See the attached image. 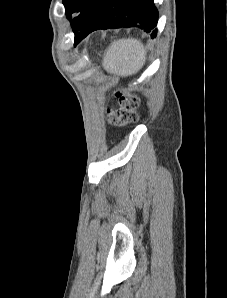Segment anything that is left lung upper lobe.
<instances>
[{"label":"left lung upper lobe","mask_w":227,"mask_h":298,"mask_svg":"<svg viewBox=\"0 0 227 298\" xmlns=\"http://www.w3.org/2000/svg\"><path fill=\"white\" fill-rule=\"evenodd\" d=\"M107 0H63L75 40L79 43L93 29ZM72 15L75 17L72 19Z\"/></svg>","instance_id":"obj_1"}]
</instances>
